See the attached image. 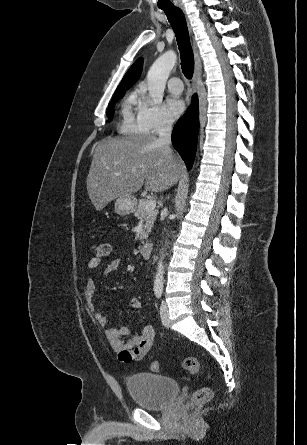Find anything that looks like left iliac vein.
Here are the masks:
<instances>
[{
	"label": "left iliac vein",
	"mask_w": 307,
	"mask_h": 445,
	"mask_svg": "<svg viewBox=\"0 0 307 445\" xmlns=\"http://www.w3.org/2000/svg\"><path fill=\"white\" fill-rule=\"evenodd\" d=\"M160 318L163 323V325L167 328L170 327V320H169V310L167 303L165 301L162 302L160 306Z\"/></svg>",
	"instance_id": "obj_1"
}]
</instances>
